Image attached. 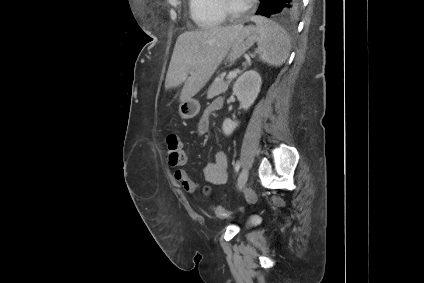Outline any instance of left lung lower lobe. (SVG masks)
<instances>
[{"label": "left lung lower lobe", "mask_w": 424, "mask_h": 283, "mask_svg": "<svg viewBox=\"0 0 424 283\" xmlns=\"http://www.w3.org/2000/svg\"><path fill=\"white\" fill-rule=\"evenodd\" d=\"M256 15L271 17L276 14L282 16L293 15L301 7L302 0H260Z\"/></svg>", "instance_id": "left-lung-lower-lobe-1"}]
</instances>
